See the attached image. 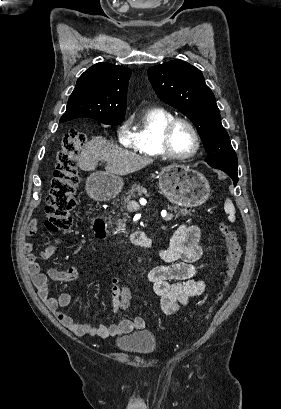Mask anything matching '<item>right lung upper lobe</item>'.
<instances>
[{
  "instance_id": "1",
  "label": "right lung upper lobe",
  "mask_w": 281,
  "mask_h": 409,
  "mask_svg": "<svg viewBox=\"0 0 281 409\" xmlns=\"http://www.w3.org/2000/svg\"><path fill=\"white\" fill-rule=\"evenodd\" d=\"M130 69L97 63L77 80L60 123L78 117L124 119Z\"/></svg>"
}]
</instances>
